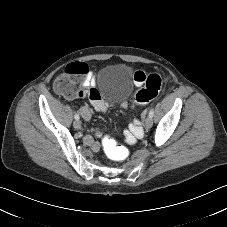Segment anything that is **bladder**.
<instances>
[{
  "instance_id": "bladder-1",
  "label": "bladder",
  "mask_w": 227,
  "mask_h": 227,
  "mask_svg": "<svg viewBox=\"0 0 227 227\" xmlns=\"http://www.w3.org/2000/svg\"><path fill=\"white\" fill-rule=\"evenodd\" d=\"M102 79V82L99 83V91L107 86L108 92L118 101L128 100L133 88L129 67L114 65L108 70L102 71Z\"/></svg>"
}]
</instances>
